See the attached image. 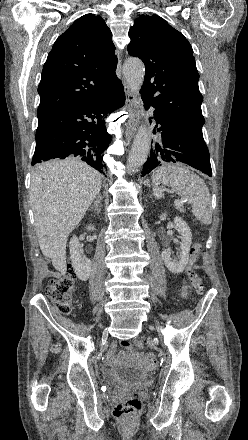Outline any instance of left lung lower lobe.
Masks as SVG:
<instances>
[{"mask_svg": "<svg viewBox=\"0 0 248 440\" xmlns=\"http://www.w3.org/2000/svg\"><path fill=\"white\" fill-rule=\"evenodd\" d=\"M142 99L147 108L151 106L144 97ZM154 119L159 124L161 144L155 145V150H151L143 166L142 176L164 162H182L212 176L209 151L202 134L193 132L156 112H154ZM153 133H156L155 129Z\"/></svg>", "mask_w": 248, "mask_h": 440, "instance_id": "left-lung-lower-lobe-1", "label": "left lung lower lobe"}]
</instances>
